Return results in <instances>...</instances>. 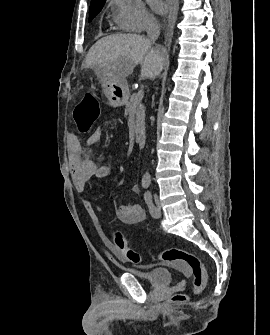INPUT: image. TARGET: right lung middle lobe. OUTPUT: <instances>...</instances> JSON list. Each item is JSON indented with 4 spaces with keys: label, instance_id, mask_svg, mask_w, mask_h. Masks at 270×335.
<instances>
[{
    "label": "right lung middle lobe",
    "instance_id": "obj_1",
    "mask_svg": "<svg viewBox=\"0 0 270 335\" xmlns=\"http://www.w3.org/2000/svg\"><path fill=\"white\" fill-rule=\"evenodd\" d=\"M104 3H99L95 5H90L89 8V22L101 11L102 7L104 6Z\"/></svg>",
    "mask_w": 270,
    "mask_h": 335
}]
</instances>
